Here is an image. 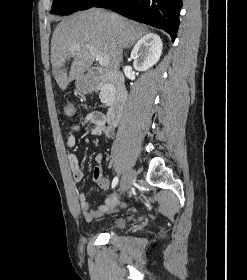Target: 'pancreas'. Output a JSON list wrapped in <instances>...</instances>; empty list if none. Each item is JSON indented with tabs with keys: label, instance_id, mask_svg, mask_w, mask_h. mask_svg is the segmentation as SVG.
I'll return each instance as SVG.
<instances>
[{
	"label": "pancreas",
	"instance_id": "pancreas-1",
	"mask_svg": "<svg viewBox=\"0 0 247 280\" xmlns=\"http://www.w3.org/2000/svg\"><path fill=\"white\" fill-rule=\"evenodd\" d=\"M109 89H110L109 85H106L101 88L99 98L102 103H106L108 101V99L110 98V96H108Z\"/></svg>",
	"mask_w": 247,
	"mask_h": 280
}]
</instances>
